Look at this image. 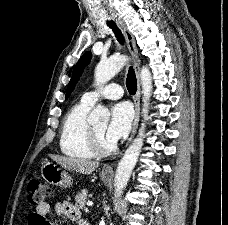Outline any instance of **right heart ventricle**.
<instances>
[{
    "label": "right heart ventricle",
    "mask_w": 228,
    "mask_h": 225,
    "mask_svg": "<svg viewBox=\"0 0 228 225\" xmlns=\"http://www.w3.org/2000/svg\"><path fill=\"white\" fill-rule=\"evenodd\" d=\"M92 105L80 100L66 113L59 139L63 155L71 158L90 159L98 155L90 139L88 115Z\"/></svg>",
    "instance_id": "e07e8e85"
}]
</instances>
